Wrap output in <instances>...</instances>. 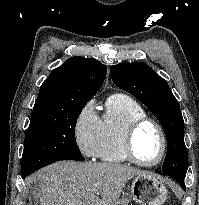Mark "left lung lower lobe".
<instances>
[{
  "instance_id": "obj_1",
  "label": "left lung lower lobe",
  "mask_w": 199,
  "mask_h": 205,
  "mask_svg": "<svg viewBox=\"0 0 199 205\" xmlns=\"http://www.w3.org/2000/svg\"><path fill=\"white\" fill-rule=\"evenodd\" d=\"M178 183L180 184L183 190H186V186L183 180H178Z\"/></svg>"
}]
</instances>
